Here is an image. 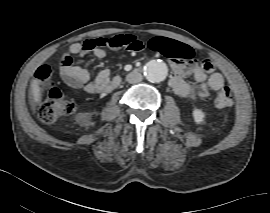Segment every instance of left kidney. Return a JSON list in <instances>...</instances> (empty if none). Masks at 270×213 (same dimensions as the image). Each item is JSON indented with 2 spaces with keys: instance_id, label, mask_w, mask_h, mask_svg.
<instances>
[{
  "instance_id": "5707ae66",
  "label": "left kidney",
  "mask_w": 270,
  "mask_h": 213,
  "mask_svg": "<svg viewBox=\"0 0 270 213\" xmlns=\"http://www.w3.org/2000/svg\"><path fill=\"white\" fill-rule=\"evenodd\" d=\"M193 118L197 124H201L205 119V114L201 109L195 108L193 110Z\"/></svg>"
}]
</instances>
